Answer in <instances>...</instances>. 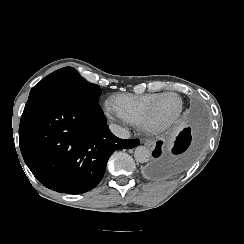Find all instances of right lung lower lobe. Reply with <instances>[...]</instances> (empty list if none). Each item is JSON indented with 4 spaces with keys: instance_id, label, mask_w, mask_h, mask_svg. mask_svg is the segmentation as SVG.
Masks as SVG:
<instances>
[{
    "instance_id": "obj_1",
    "label": "right lung lower lobe",
    "mask_w": 244,
    "mask_h": 244,
    "mask_svg": "<svg viewBox=\"0 0 244 244\" xmlns=\"http://www.w3.org/2000/svg\"><path fill=\"white\" fill-rule=\"evenodd\" d=\"M106 121L99 105L63 97L29 98L19 126L25 163L47 188L69 194L91 190L115 150L139 144L114 136Z\"/></svg>"
}]
</instances>
